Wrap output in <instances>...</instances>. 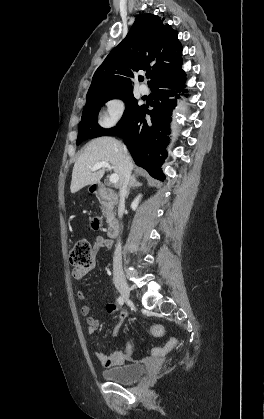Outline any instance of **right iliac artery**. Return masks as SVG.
Segmentation results:
<instances>
[{"instance_id": "1", "label": "right iliac artery", "mask_w": 264, "mask_h": 419, "mask_svg": "<svg viewBox=\"0 0 264 419\" xmlns=\"http://www.w3.org/2000/svg\"><path fill=\"white\" fill-rule=\"evenodd\" d=\"M117 302H118L119 305H123L124 300L121 296H119L118 299H117Z\"/></svg>"}]
</instances>
